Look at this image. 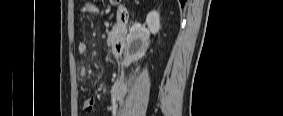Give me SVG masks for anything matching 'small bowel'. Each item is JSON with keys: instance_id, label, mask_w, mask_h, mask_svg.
<instances>
[{"instance_id": "c3829d8e", "label": "small bowel", "mask_w": 283, "mask_h": 116, "mask_svg": "<svg viewBox=\"0 0 283 116\" xmlns=\"http://www.w3.org/2000/svg\"><path fill=\"white\" fill-rule=\"evenodd\" d=\"M81 12L87 14L100 15V9L91 1H83L81 5ZM88 51L87 44L85 42H80L78 44V52L81 54H86ZM95 100L93 98H89L83 103V110L86 112H91L94 108ZM110 110H115V104L110 106Z\"/></svg>"}]
</instances>
